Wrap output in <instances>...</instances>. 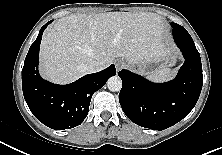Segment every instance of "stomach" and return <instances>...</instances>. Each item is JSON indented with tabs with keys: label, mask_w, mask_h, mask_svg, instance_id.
I'll use <instances>...</instances> for the list:
<instances>
[{
	"label": "stomach",
	"mask_w": 222,
	"mask_h": 155,
	"mask_svg": "<svg viewBox=\"0 0 222 155\" xmlns=\"http://www.w3.org/2000/svg\"><path fill=\"white\" fill-rule=\"evenodd\" d=\"M176 60V50L170 45L160 43L150 58L136 63L135 66L142 74H152L168 66L174 65Z\"/></svg>",
	"instance_id": "1"
}]
</instances>
